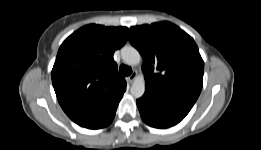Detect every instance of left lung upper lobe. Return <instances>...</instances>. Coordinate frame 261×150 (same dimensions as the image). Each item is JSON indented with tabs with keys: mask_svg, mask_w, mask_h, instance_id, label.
Returning a JSON list of instances; mask_svg holds the SVG:
<instances>
[{
	"mask_svg": "<svg viewBox=\"0 0 261 150\" xmlns=\"http://www.w3.org/2000/svg\"><path fill=\"white\" fill-rule=\"evenodd\" d=\"M129 41L143 57L145 92L196 102L204 62L192 37L170 22H160L131 27Z\"/></svg>",
	"mask_w": 261,
	"mask_h": 150,
	"instance_id": "1",
	"label": "left lung upper lobe"
}]
</instances>
